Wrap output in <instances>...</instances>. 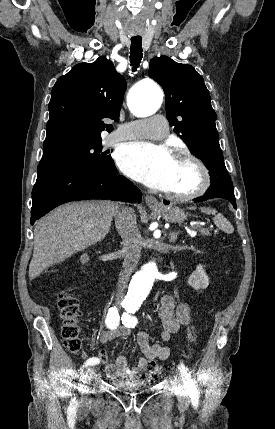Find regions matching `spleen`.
<instances>
[{"instance_id": "spleen-1", "label": "spleen", "mask_w": 275, "mask_h": 429, "mask_svg": "<svg viewBox=\"0 0 275 429\" xmlns=\"http://www.w3.org/2000/svg\"><path fill=\"white\" fill-rule=\"evenodd\" d=\"M190 209H195L194 207H191ZM201 212L208 214V215H214L213 221L214 224L224 231L227 234H232L234 232V228L232 224L220 213H217L215 209L209 208V207H202Z\"/></svg>"}]
</instances>
